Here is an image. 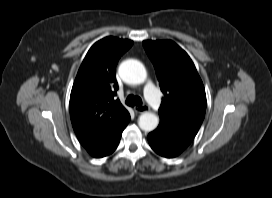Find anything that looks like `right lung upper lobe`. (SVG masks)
<instances>
[{"label": "right lung upper lobe", "mask_w": 272, "mask_h": 198, "mask_svg": "<svg viewBox=\"0 0 272 198\" xmlns=\"http://www.w3.org/2000/svg\"><path fill=\"white\" fill-rule=\"evenodd\" d=\"M132 44L127 39L103 38L90 48L79 68L70 95V117L84 147L98 140L128 112L114 99L118 89L115 69Z\"/></svg>", "instance_id": "1"}]
</instances>
